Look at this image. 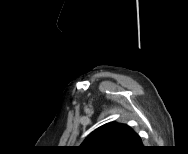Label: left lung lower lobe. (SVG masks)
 Instances as JSON below:
<instances>
[{
	"instance_id": "0a47b994",
	"label": "left lung lower lobe",
	"mask_w": 188,
	"mask_h": 154,
	"mask_svg": "<svg viewBox=\"0 0 188 154\" xmlns=\"http://www.w3.org/2000/svg\"><path fill=\"white\" fill-rule=\"evenodd\" d=\"M141 145H142L141 138L139 137L138 134H136L131 148L140 147Z\"/></svg>"
}]
</instances>
